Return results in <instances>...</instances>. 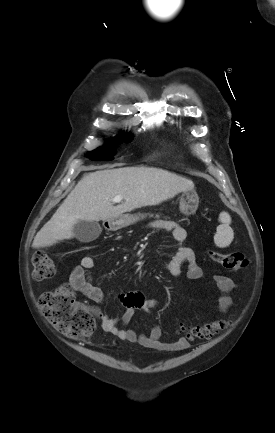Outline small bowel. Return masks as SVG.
Returning a JSON list of instances; mask_svg holds the SVG:
<instances>
[{"label":"small bowel","mask_w":275,"mask_h":433,"mask_svg":"<svg viewBox=\"0 0 275 433\" xmlns=\"http://www.w3.org/2000/svg\"><path fill=\"white\" fill-rule=\"evenodd\" d=\"M160 228L171 233L177 243V250L171 260L166 263V270L171 275H179L184 264H188L187 276L189 279H199L202 276V269L197 264L195 251L186 245L185 230L174 223L163 222L158 225ZM95 266V260L91 255L81 258L79 265L71 271L68 283L85 297L100 305L105 301V295L101 288L97 286L88 270ZM218 289L221 292L219 298V309L222 313L226 312L231 306L229 296L233 289V281L226 275H214L213 277ZM119 301L125 307L124 313L119 318H110L105 315L98 307H93L92 311L98 318L103 331L110 333L120 340L129 343H138L142 347L159 352L181 351L189 347V342L185 337H180L171 342L161 341L162 331L160 326L154 325L150 333L138 334L133 329H124L121 326L127 325L137 310L149 311L152 302L140 290H134L118 295Z\"/></svg>","instance_id":"obj_1"}]
</instances>
